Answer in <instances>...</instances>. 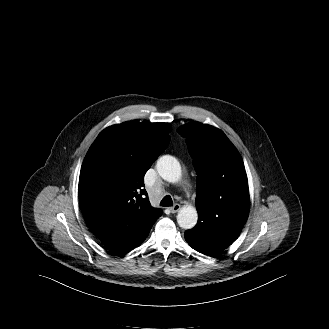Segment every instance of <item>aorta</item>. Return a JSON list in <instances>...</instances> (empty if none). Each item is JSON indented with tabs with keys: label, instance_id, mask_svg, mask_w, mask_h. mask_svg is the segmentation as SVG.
Wrapping results in <instances>:
<instances>
[{
	"label": "aorta",
	"instance_id": "aorta-1",
	"mask_svg": "<svg viewBox=\"0 0 329 329\" xmlns=\"http://www.w3.org/2000/svg\"><path fill=\"white\" fill-rule=\"evenodd\" d=\"M156 169L167 182L176 183L181 179L182 171L179 161L170 155H164L157 160ZM198 220L197 210L193 206L182 207L177 215V222L183 229H192Z\"/></svg>",
	"mask_w": 329,
	"mask_h": 329
}]
</instances>
